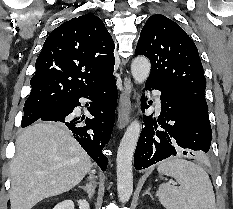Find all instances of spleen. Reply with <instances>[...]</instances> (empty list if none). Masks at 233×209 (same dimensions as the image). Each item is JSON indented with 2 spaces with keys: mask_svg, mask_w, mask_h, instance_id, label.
I'll return each instance as SVG.
<instances>
[{
  "mask_svg": "<svg viewBox=\"0 0 233 209\" xmlns=\"http://www.w3.org/2000/svg\"><path fill=\"white\" fill-rule=\"evenodd\" d=\"M158 172L175 178L179 187L169 183L159 186L157 196L166 209H216L210 178L199 165L174 158L162 162Z\"/></svg>",
  "mask_w": 233,
  "mask_h": 209,
  "instance_id": "3e777b00",
  "label": "spleen"
}]
</instances>
